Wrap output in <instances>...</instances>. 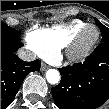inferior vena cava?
Listing matches in <instances>:
<instances>
[{
  "label": "inferior vena cava",
  "instance_id": "602c4592",
  "mask_svg": "<svg viewBox=\"0 0 109 109\" xmlns=\"http://www.w3.org/2000/svg\"><path fill=\"white\" fill-rule=\"evenodd\" d=\"M17 55L20 59L27 62L34 61L37 58V56L33 52L24 48H20L17 52Z\"/></svg>",
  "mask_w": 109,
  "mask_h": 109
}]
</instances>
